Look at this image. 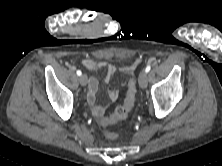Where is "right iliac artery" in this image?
Wrapping results in <instances>:
<instances>
[{
  "label": "right iliac artery",
  "mask_w": 222,
  "mask_h": 166,
  "mask_svg": "<svg viewBox=\"0 0 222 166\" xmlns=\"http://www.w3.org/2000/svg\"><path fill=\"white\" fill-rule=\"evenodd\" d=\"M77 75L80 76L82 74V72L80 70H77Z\"/></svg>",
  "instance_id": "obj_1"
}]
</instances>
